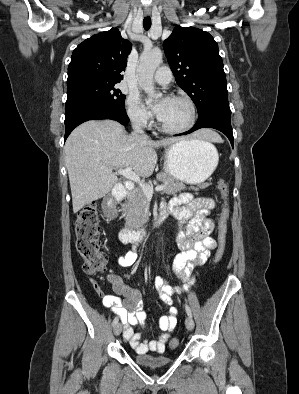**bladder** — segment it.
Listing matches in <instances>:
<instances>
[{"mask_svg": "<svg viewBox=\"0 0 299 394\" xmlns=\"http://www.w3.org/2000/svg\"><path fill=\"white\" fill-rule=\"evenodd\" d=\"M136 363L146 369L156 370L172 363V357L165 355L137 354Z\"/></svg>", "mask_w": 299, "mask_h": 394, "instance_id": "obj_1", "label": "bladder"}]
</instances>
